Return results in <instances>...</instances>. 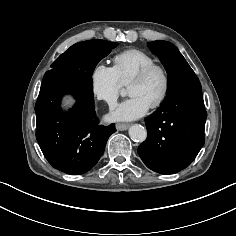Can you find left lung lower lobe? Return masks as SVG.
I'll return each mask as SVG.
<instances>
[{"mask_svg": "<svg viewBox=\"0 0 236 236\" xmlns=\"http://www.w3.org/2000/svg\"><path fill=\"white\" fill-rule=\"evenodd\" d=\"M206 117L199 80L177 87L145 119L147 139L138 147L142 161L161 174L188 167L204 145Z\"/></svg>", "mask_w": 236, "mask_h": 236, "instance_id": "obj_1", "label": "left lung lower lobe"}]
</instances>
